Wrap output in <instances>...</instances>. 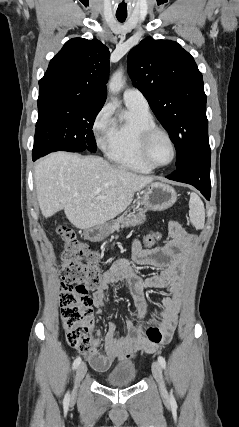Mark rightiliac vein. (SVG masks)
<instances>
[{
  "mask_svg": "<svg viewBox=\"0 0 239 427\" xmlns=\"http://www.w3.org/2000/svg\"><path fill=\"white\" fill-rule=\"evenodd\" d=\"M87 372V366L84 363H81L77 370H76V375H75V385H74V389L72 391V397H75L77 394V388L80 384V381L83 379V377L85 376Z\"/></svg>",
  "mask_w": 239,
  "mask_h": 427,
  "instance_id": "obj_1",
  "label": "right iliac vein"
}]
</instances>
